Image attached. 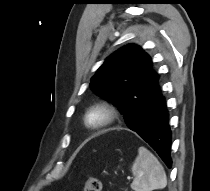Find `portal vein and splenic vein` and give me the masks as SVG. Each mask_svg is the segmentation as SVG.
<instances>
[{
    "label": "portal vein and splenic vein",
    "mask_w": 210,
    "mask_h": 191,
    "mask_svg": "<svg viewBox=\"0 0 210 191\" xmlns=\"http://www.w3.org/2000/svg\"><path fill=\"white\" fill-rule=\"evenodd\" d=\"M127 179H128V180H131V179H132V177L128 176V177H127Z\"/></svg>",
    "instance_id": "portal-vein-and-splenic-vein-1"
}]
</instances>
